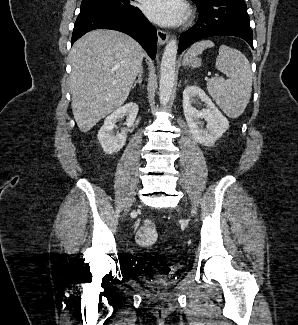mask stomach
Here are the masks:
<instances>
[{
  "label": "stomach",
  "mask_w": 298,
  "mask_h": 325,
  "mask_svg": "<svg viewBox=\"0 0 298 325\" xmlns=\"http://www.w3.org/2000/svg\"><path fill=\"white\" fill-rule=\"evenodd\" d=\"M184 66H190V68H198V66H202V58H198V56H195V58H189V60H183Z\"/></svg>",
  "instance_id": "0dacf381"
}]
</instances>
